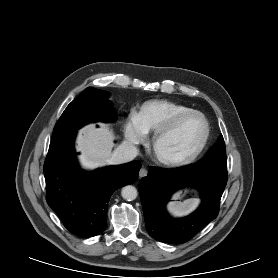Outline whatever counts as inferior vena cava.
<instances>
[{"label": "inferior vena cava", "mask_w": 278, "mask_h": 278, "mask_svg": "<svg viewBox=\"0 0 278 278\" xmlns=\"http://www.w3.org/2000/svg\"><path fill=\"white\" fill-rule=\"evenodd\" d=\"M138 155L137 148L129 143L123 142L112 153L110 162L113 164H122L132 161Z\"/></svg>", "instance_id": "obj_1"}]
</instances>
